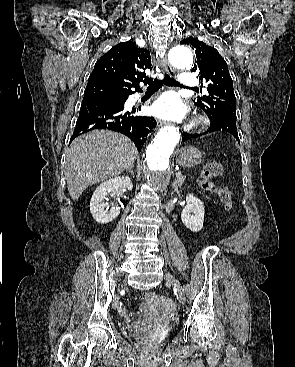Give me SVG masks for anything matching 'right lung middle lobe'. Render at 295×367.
<instances>
[{
	"label": "right lung middle lobe",
	"mask_w": 295,
	"mask_h": 367,
	"mask_svg": "<svg viewBox=\"0 0 295 367\" xmlns=\"http://www.w3.org/2000/svg\"><path fill=\"white\" fill-rule=\"evenodd\" d=\"M127 96H121L103 88H90L84 92L83 102L87 101H118L122 102Z\"/></svg>",
	"instance_id": "obj_1"
}]
</instances>
